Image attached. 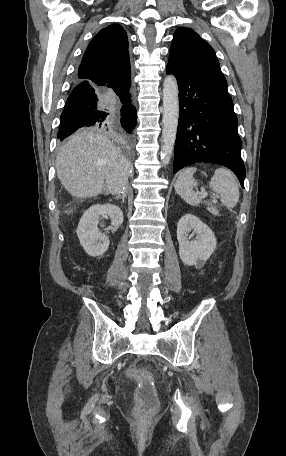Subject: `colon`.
<instances>
[{
    "instance_id": "5ec220e1",
    "label": "colon",
    "mask_w": 286,
    "mask_h": 456,
    "mask_svg": "<svg viewBox=\"0 0 286 456\" xmlns=\"http://www.w3.org/2000/svg\"><path fill=\"white\" fill-rule=\"evenodd\" d=\"M130 378L138 383L136 390V412L141 414L152 410L157 404V395L154 387V377L135 367L129 368Z\"/></svg>"
}]
</instances>
